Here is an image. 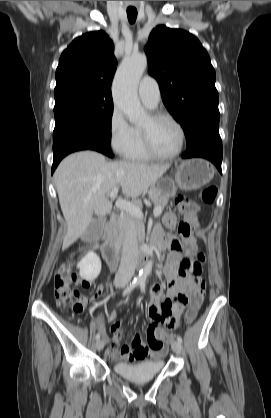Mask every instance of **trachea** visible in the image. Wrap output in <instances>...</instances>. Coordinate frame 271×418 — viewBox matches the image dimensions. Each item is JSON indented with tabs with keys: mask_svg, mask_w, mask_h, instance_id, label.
Returning <instances> with one entry per match:
<instances>
[{
	"mask_svg": "<svg viewBox=\"0 0 271 418\" xmlns=\"http://www.w3.org/2000/svg\"><path fill=\"white\" fill-rule=\"evenodd\" d=\"M127 16L130 23H134L137 17L136 9H127Z\"/></svg>",
	"mask_w": 271,
	"mask_h": 418,
	"instance_id": "1",
	"label": "trachea"
}]
</instances>
